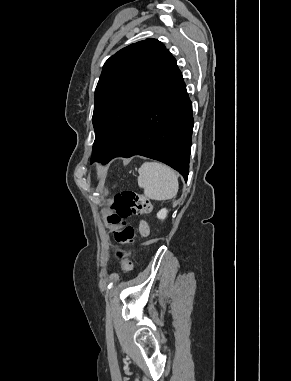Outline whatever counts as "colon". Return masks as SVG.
Returning a JSON list of instances; mask_svg holds the SVG:
<instances>
[{
	"mask_svg": "<svg viewBox=\"0 0 291 381\" xmlns=\"http://www.w3.org/2000/svg\"><path fill=\"white\" fill-rule=\"evenodd\" d=\"M112 209L113 213L107 217V222L112 226V233L117 244L116 257L121 269L130 271L133 263L129 246L135 243L136 231L126 220L132 215L150 213L152 205L146 196L133 190H124L115 196Z\"/></svg>",
	"mask_w": 291,
	"mask_h": 381,
	"instance_id": "5ec220e1",
	"label": "colon"
}]
</instances>
